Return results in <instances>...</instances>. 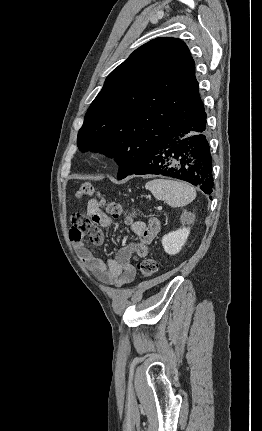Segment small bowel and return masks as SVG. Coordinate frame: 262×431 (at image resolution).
Listing matches in <instances>:
<instances>
[{
    "instance_id": "small-bowel-1",
    "label": "small bowel",
    "mask_w": 262,
    "mask_h": 431,
    "mask_svg": "<svg viewBox=\"0 0 262 431\" xmlns=\"http://www.w3.org/2000/svg\"><path fill=\"white\" fill-rule=\"evenodd\" d=\"M112 225V218L99 209L98 200L91 199L87 203L85 215H78V220L71 227L69 236L80 253V259L94 276L106 284L122 288L133 281L136 269L132 262L148 254V245L159 232L161 223L155 217L150 218L147 223L132 222L129 231L134 241L105 261L86 247L85 239L94 245H101L103 233L100 227Z\"/></svg>"
}]
</instances>
